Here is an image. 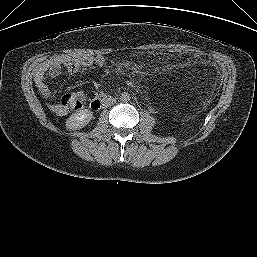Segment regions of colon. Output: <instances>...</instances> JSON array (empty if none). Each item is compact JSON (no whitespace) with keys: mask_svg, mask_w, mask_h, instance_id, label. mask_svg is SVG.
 Masks as SVG:
<instances>
[{"mask_svg":"<svg viewBox=\"0 0 257 257\" xmlns=\"http://www.w3.org/2000/svg\"><path fill=\"white\" fill-rule=\"evenodd\" d=\"M171 52L181 53V50L171 49ZM83 103L84 95L81 92L69 93L62 98V105L72 110L80 109L83 106Z\"/></svg>","mask_w":257,"mask_h":257,"instance_id":"obj_1","label":"colon"}]
</instances>
